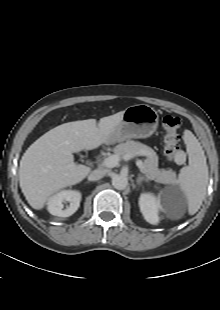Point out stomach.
I'll list each match as a JSON object with an SVG mask.
<instances>
[{
  "instance_id": "stomach-1",
  "label": "stomach",
  "mask_w": 220,
  "mask_h": 310,
  "mask_svg": "<svg viewBox=\"0 0 220 310\" xmlns=\"http://www.w3.org/2000/svg\"><path fill=\"white\" fill-rule=\"evenodd\" d=\"M158 121L159 115L153 107L147 104L129 106L124 110L121 121L111 136V142L147 138L156 131Z\"/></svg>"
}]
</instances>
